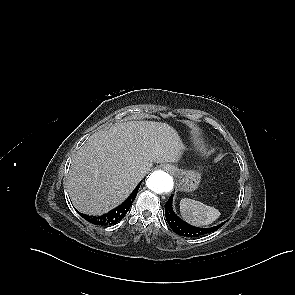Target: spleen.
<instances>
[{"mask_svg":"<svg viewBox=\"0 0 295 295\" xmlns=\"http://www.w3.org/2000/svg\"><path fill=\"white\" fill-rule=\"evenodd\" d=\"M180 212L183 219L194 226L209 225L220 216L216 208L189 198L181 199Z\"/></svg>","mask_w":295,"mask_h":295,"instance_id":"spleen-1","label":"spleen"}]
</instances>
